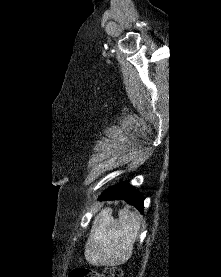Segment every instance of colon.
<instances>
[{
  "label": "colon",
  "mask_w": 221,
  "mask_h": 277,
  "mask_svg": "<svg viewBox=\"0 0 221 277\" xmlns=\"http://www.w3.org/2000/svg\"><path fill=\"white\" fill-rule=\"evenodd\" d=\"M70 277H123V272L119 267H109L102 272H97L86 267H79L71 272Z\"/></svg>",
  "instance_id": "obj_1"
}]
</instances>
